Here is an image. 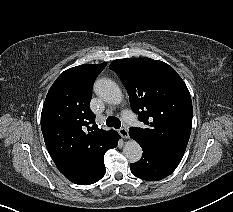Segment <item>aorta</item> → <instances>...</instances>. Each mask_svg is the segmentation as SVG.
<instances>
[{"label":"aorta","instance_id":"762f6f07","mask_svg":"<svg viewBox=\"0 0 233 212\" xmlns=\"http://www.w3.org/2000/svg\"><path fill=\"white\" fill-rule=\"evenodd\" d=\"M94 91L97 96L109 104H119L123 99L121 89L110 79H98L94 84ZM123 153L130 162L135 163L142 157V148L135 140H129L125 142Z\"/></svg>","mask_w":233,"mask_h":212}]
</instances>
